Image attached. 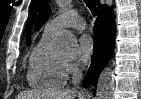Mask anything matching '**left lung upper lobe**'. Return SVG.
<instances>
[{"label": "left lung upper lobe", "mask_w": 141, "mask_h": 99, "mask_svg": "<svg viewBox=\"0 0 141 99\" xmlns=\"http://www.w3.org/2000/svg\"><path fill=\"white\" fill-rule=\"evenodd\" d=\"M38 4H39V0H32L31 5H30V12H29V16H28L27 24H26V33H27V40L28 41L30 39L32 22L34 20L35 14H36Z\"/></svg>", "instance_id": "obj_1"}]
</instances>
